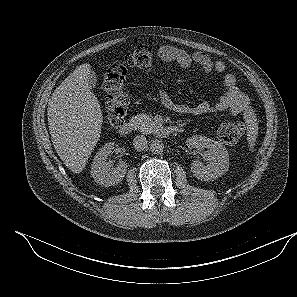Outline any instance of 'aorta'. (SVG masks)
<instances>
[{
    "mask_svg": "<svg viewBox=\"0 0 297 297\" xmlns=\"http://www.w3.org/2000/svg\"><path fill=\"white\" fill-rule=\"evenodd\" d=\"M150 151L153 154H162V152L164 151V144L162 143V141L155 139L150 144Z\"/></svg>",
    "mask_w": 297,
    "mask_h": 297,
    "instance_id": "1",
    "label": "aorta"
}]
</instances>
